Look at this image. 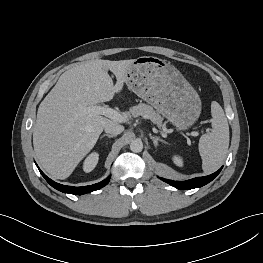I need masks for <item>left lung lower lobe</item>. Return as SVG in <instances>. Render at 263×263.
<instances>
[{
    "label": "left lung lower lobe",
    "instance_id": "obj_1",
    "mask_svg": "<svg viewBox=\"0 0 263 263\" xmlns=\"http://www.w3.org/2000/svg\"><path fill=\"white\" fill-rule=\"evenodd\" d=\"M220 171L221 169H219L218 171H216L215 173L211 175L204 176V177H196L191 180L184 181V182H175V181L167 180L164 178H160V179L163 180L164 182L169 183L170 185H172L173 187L177 189L187 190V189L198 188V187H202L206 185L207 183L212 181L220 173Z\"/></svg>",
    "mask_w": 263,
    "mask_h": 263
}]
</instances>
